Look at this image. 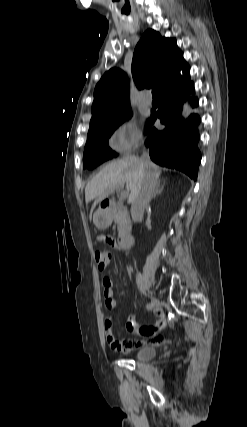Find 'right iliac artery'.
Masks as SVG:
<instances>
[{
	"label": "right iliac artery",
	"mask_w": 247,
	"mask_h": 427,
	"mask_svg": "<svg viewBox=\"0 0 247 427\" xmlns=\"http://www.w3.org/2000/svg\"><path fill=\"white\" fill-rule=\"evenodd\" d=\"M146 308H147L148 310H151V309H152V304H150V303H149V304H147V305H146Z\"/></svg>",
	"instance_id": "right-iliac-artery-1"
}]
</instances>
